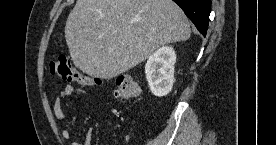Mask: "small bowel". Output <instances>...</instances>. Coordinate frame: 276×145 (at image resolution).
I'll return each mask as SVG.
<instances>
[{"mask_svg":"<svg viewBox=\"0 0 276 145\" xmlns=\"http://www.w3.org/2000/svg\"><path fill=\"white\" fill-rule=\"evenodd\" d=\"M86 94V90L80 87H75L73 85H66L59 95L56 96L53 102V113L55 118L60 122V123H66L67 122V116L63 110V100L72 95L76 96H82ZM93 129H88L85 133V138L84 142L81 144L78 143H72V145H92V139H93ZM71 134L69 130L65 129L62 131V137L66 140L70 138Z\"/></svg>","mask_w":276,"mask_h":145,"instance_id":"obj_1","label":"small bowel"}]
</instances>
